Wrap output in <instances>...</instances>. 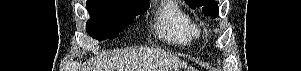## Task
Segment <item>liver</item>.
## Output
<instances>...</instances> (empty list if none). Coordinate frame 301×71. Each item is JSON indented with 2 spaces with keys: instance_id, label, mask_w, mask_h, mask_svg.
I'll return each mask as SVG.
<instances>
[{
  "instance_id": "6515ba94",
  "label": "liver",
  "mask_w": 301,
  "mask_h": 71,
  "mask_svg": "<svg viewBox=\"0 0 301 71\" xmlns=\"http://www.w3.org/2000/svg\"><path fill=\"white\" fill-rule=\"evenodd\" d=\"M184 66L186 63L171 53L144 48L100 56L84 71H177Z\"/></svg>"
}]
</instances>
